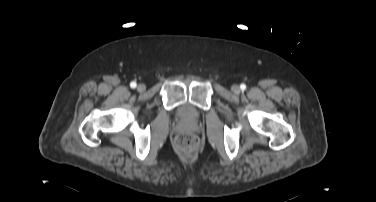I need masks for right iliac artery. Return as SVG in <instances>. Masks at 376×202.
<instances>
[{"mask_svg":"<svg viewBox=\"0 0 376 202\" xmlns=\"http://www.w3.org/2000/svg\"><path fill=\"white\" fill-rule=\"evenodd\" d=\"M130 86H131V88H135L137 86V84H136V82L133 81V82L130 83Z\"/></svg>","mask_w":376,"mask_h":202,"instance_id":"obj_1","label":"right iliac artery"}]
</instances>
